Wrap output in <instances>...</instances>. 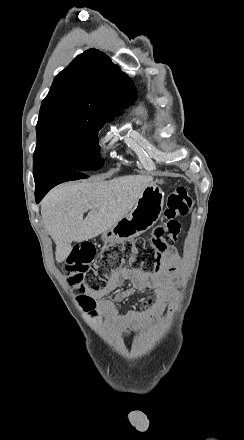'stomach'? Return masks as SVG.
<instances>
[{
    "label": "stomach",
    "instance_id": "1",
    "mask_svg": "<svg viewBox=\"0 0 244 440\" xmlns=\"http://www.w3.org/2000/svg\"><path fill=\"white\" fill-rule=\"evenodd\" d=\"M161 184H166L163 178L155 180L142 190L133 210L118 220L115 226L103 232L101 238L104 244L127 242V240L137 238L155 226L164 206L165 194L160 188Z\"/></svg>",
    "mask_w": 244,
    "mask_h": 440
}]
</instances>
